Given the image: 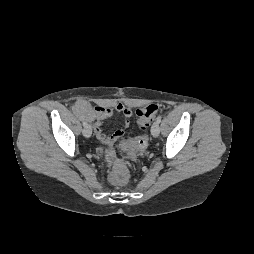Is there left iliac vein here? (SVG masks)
<instances>
[{
  "label": "left iliac vein",
  "mask_w": 254,
  "mask_h": 254,
  "mask_svg": "<svg viewBox=\"0 0 254 254\" xmlns=\"http://www.w3.org/2000/svg\"><path fill=\"white\" fill-rule=\"evenodd\" d=\"M160 133V127H159V123L157 122H154L152 127H151V134L154 136V137H157Z\"/></svg>",
  "instance_id": "obj_1"
}]
</instances>
